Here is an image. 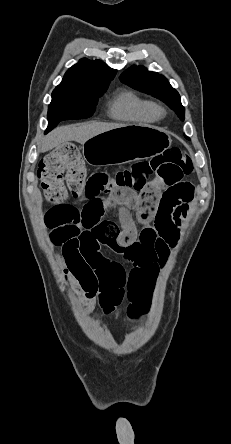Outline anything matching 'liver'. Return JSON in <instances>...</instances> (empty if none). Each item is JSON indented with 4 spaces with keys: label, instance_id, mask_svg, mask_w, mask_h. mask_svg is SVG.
Segmentation results:
<instances>
[{
    "label": "liver",
    "instance_id": "6515ba94",
    "mask_svg": "<svg viewBox=\"0 0 231 444\" xmlns=\"http://www.w3.org/2000/svg\"><path fill=\"white\" fill-rule=\"evenodd\" d=\"M125 126V124L89 122L80 125L58 127L45 137L40 151L47 152L69 141L84 144L87 140L100 133Z\"/></svg>",
    "mask_w": 231,
    "mask_h": 444
}]
</instances>
